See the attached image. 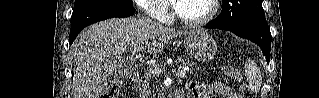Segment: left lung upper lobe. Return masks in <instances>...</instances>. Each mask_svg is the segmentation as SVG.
<instances>
[{"instance_id": "1", "label": "left lung upper lobe", "mask_w": 319, "mask_h": 98, "mask_svg": "<svg viewBox=\"0 0 319 98\" xmlns=\"http://www.w3.org/2000/svg\"><path fill=\"white\" fill-rule=\"evenodd\" d=\"M221 14L209 23L216 27L242 28L267 25L261 0H222Z\"/></svg>"}]
</instances>
